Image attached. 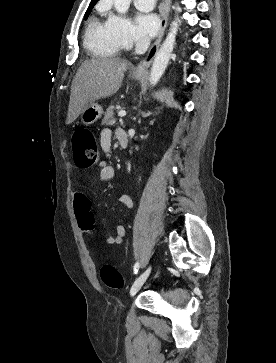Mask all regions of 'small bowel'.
Masks as SVG:
<instances>
[{
	"label": "small bowel",
	"instance_id": "small-bowel-1",
	"mask_svg": "<svg viewBox=\"0 0 276 363\" xmlns=\"http://www.w3.org/2000/svg\"><path fill=\"white\" fill-rule=\"evenodd\" d=\"M119 132H125L123 129H117L115 136ZM112 143V132L110 129H104L100 135V145L105 153H108ZM99 167V178L101 181L108 182L114 178L115 170L112 165L108 164L106 161H101L98 165ZM77 185L81 186L84 184V178L78 177L76 179ZM119 202L123 204L128 209L133 208V200L127 194H121L118 198ZM73 205L78 216L81 215L84 221H93L91 228L84 230L88 235H91L94 231V220L93 214L91 212V201L88 196L82 191H74L73 193ZM126 229L123 225L116 226V233L114 236L102 238L101 241L108 245L121 244L125 238Z\"/></svg>",
	"mask_w": 276,
	"mask_h": 363
}]
</instances>
